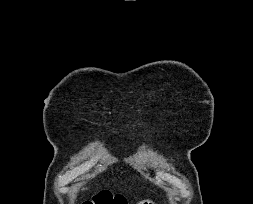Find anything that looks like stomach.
Wrapping results in <instances>:
<instances>
[{"label": "stomach", "instance_id": "1", "mask_svg": "<svg viewBox=\"0 0 253 204\" xmlns=\"http://www.w3.org/2000/svg\"><path fill=\"white\" fill-rule=\"evenodd\" d=\"M138 204H155V203L153 202V200L146 199V200L140 201Z\"/></svg>", "mask_w": 253, "mask_h": 204}]
</instances>
